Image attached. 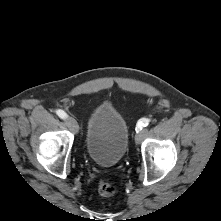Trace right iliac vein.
Returning a JSON list of instances; mask_svg holds the SVG:
<instances>
[{
    "instance_id": "right-iliac-vein-1",
    "label": "right iliac vein",
    "mask_w": 221,
    "mask_h": 221,
    "mask_svg": "<svg viewBox=\"0 0 221 221\" xmlns=\"http://www.w3.org/2000/svg\"><path fill=\"white\" fill-rule=\"evenodd\" d=\"M66 124L71 131H73L74 133L78 132L79 127H78L77 121L74 118L68 117L66 119Z\"/></svg>"
}]
</instances>
